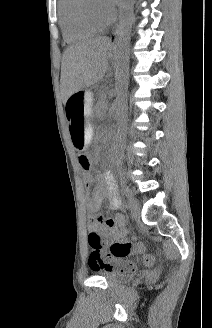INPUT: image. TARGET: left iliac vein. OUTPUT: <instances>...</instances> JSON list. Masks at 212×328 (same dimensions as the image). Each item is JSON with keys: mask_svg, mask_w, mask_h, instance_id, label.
<instances>
[{"mask_svg": "<svg viewBox=\"0 0 212 328\" xmlns=\"http://www.w3.org/2000/svg\"><path fill=\"white\" fill-rule=\"evenodd\" d=\"M128 207L131 212V215L135 218L138 219L140 217V208L138 206L137 201L134 199L132 193L129 194L128 197Z\"/></svg>", "mask_w": 212, "mask_h": 328, "instance_id": "left-iliac-vein-1", "label": "left iliac vein"}]
</instances>
